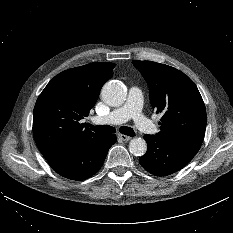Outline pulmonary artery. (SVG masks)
Here are the masks:
<instances>
[{"label": "pulmonary artery", "mask_w": 233, "mask_h": 233, "mask_svg": "<svg viewBox=\"0 0 233 233\" xmlns=\"http://www.w3.org/2000/svg\"><path fill=\"white\" fill-rule=\"evenodd\" d=\"M142 104L143 92L140 88L134 86L129 89L127 99L122 106L108 114L97 116L94 120L101 124H120L133 119L138 129L145 133L153 134L157 131V128L143 116Z\"/></svg>", "instance_id": "e3ab8cb5"}]
</instances>
